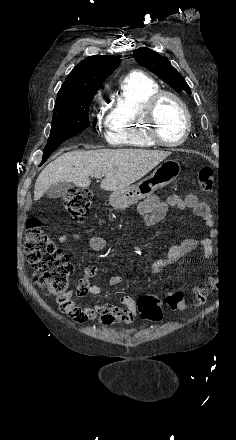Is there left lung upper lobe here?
<instances>
[{"mask_svg": "<svg viewBox=\"0 0 236 440\" xmlns=\"http://www.w3.org/2000/svg\"><path fill=\"white\" fill-rule=\"evenodd\" d=\"M137 63L159 76L176 91L184 90L191 94L190 88L180 73L170 62L157 52L146 47L139 48L133 53Z\"/></svg>", "mask_w": 236, "mask_h": 440, "instance_id": "obj_1", "label": "left lung upper lobe"}]
</instances>
